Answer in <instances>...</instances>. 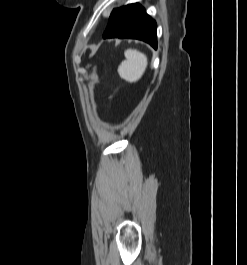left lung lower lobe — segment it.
Returning <instances> with one entry per match:
<instances>
[{
    "label": "left lung lower lobe",
    "mask_w": 247,
    "mask_h": 265,
    "mask_svg": "<svg viewBox=\"0 0 247 265\" xmlns=\"http://www.w3.org/2000/svg\"><path fill=\"white\" fill-rule=\"evenodd\" d=\"M135 38L157 48L156 23L138 3L114 9L103 38Z\"/></svg>",
    "instance_id": "left-lung-lower-lobe-1"
}]
</instances>
